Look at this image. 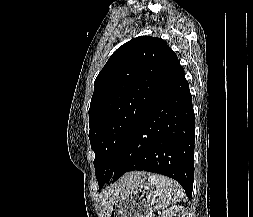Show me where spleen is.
<instances>
[{
	"label": "spleen",
	"mask_w": 253,
	"mask_h": 217,
	"mask_svg": "<svg viewBox=\"0 0 253 217\" xmlns=\"http://www.w3.org/2000/svg\"><path fill=\"white\" fill-rule=\"evenodd\" d=\"M148 181L156 187V192L159 194L157 204L160 209H165L171 204L181 200L183 190L181 186L171 178L162 175H149Z\"/></svg>",
	"instance_id": "1"
}]
</instances>
